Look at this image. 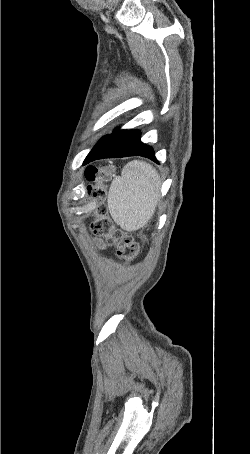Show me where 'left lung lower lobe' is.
<instances>
[{
  "label": "left lung lower lobe",
  "instance_id": "obj_1",
  "mask_svg": "<svg viewBox=\"0 0 250 454\" xmlns=\"http://www.w3.org/2000/svg\"><path fill=\"white\" fill-rule=\"evenodd\" d=\"M126 156H143L158 163L153 148L140 141L138 130L116 129L93 147L83 165L98 159Z\"/></svg>",
  "mask_w": 250,
  "mask_h": 454
}]
</instances>
